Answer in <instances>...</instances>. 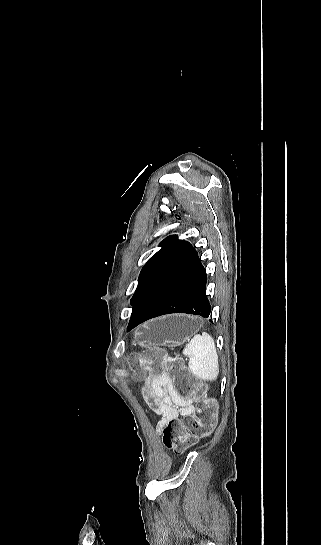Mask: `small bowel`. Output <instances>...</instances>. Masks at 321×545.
<instances>
[{
  "instance_id": "1",
  "label": "small bowel",
  "mask_w": 321,
  "mask_h": 545,
  "mask_svg": "<svg viewBox=\"0 0 321 545\" xmlns=\"http://www.w3.org/2000/svg\"><path fill=\"white\" fill-rule=\"evenodd\" d=\"M143 396L150 408L161 416L157 424L158 432L169 420L188 416L194 411L193 399L179 396L168 378H147Z\"/></svg>"
}]
</instances>
